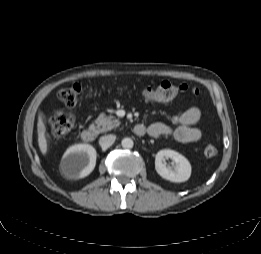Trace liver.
<instances>
[{"label": "liver", "mask_w": 261, "mask_h": 254, "mask_svg": "<svg viewBox=\"0 0 261 254\" xmlns=\"http://www.w3.org/2000/svg\"><path fill=\"white\" fill-rule=\"evenodd\" d=\"M37 129H38V145L42 154L45 155L47 153V140L45 137L46 127L41 116H39L38 118Z\"/></svg>", "instance_id": "obj_1"}]
</instances>
